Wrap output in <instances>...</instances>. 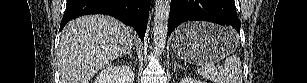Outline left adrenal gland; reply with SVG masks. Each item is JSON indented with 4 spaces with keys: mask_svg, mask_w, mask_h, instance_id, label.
<instances>
[{
    "mask_svg": "<svg viewBox=\"0 0 307 83\" xmlns=\"http://www.w3.org/2000/svg\"><path fill=\"white\" fill-rule=\"evenodd\" d=\"M173 62H174V70H176L177 68L185 70L184 67H182L181 65H179L175 59V57H173Z\"/></svg>",
    "mask_w": 307,
    "mask_h": 83,
    "instance_id": "obj_1",
    "label": "left adrenal gland"
}]
</instances>
